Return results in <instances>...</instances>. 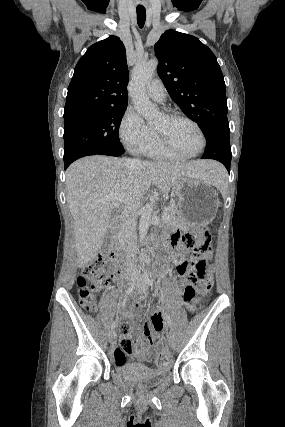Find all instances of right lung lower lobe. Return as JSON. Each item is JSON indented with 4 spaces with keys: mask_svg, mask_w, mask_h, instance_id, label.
<instances>
[{
    "mask_svg": "<svg viewBox=\"0 0 285 427\" xmlns=\"http://www.w3.org/2000/svg\"><path fill=\"white\" fill-rule=\"evenodd\" d=\"M65 165V169L70 165V164H64Z\"/></svg>",
    "mask_w": 285,
    "mask_h": 427,
    "instance_id": "1",
    "label": "right lung lower lobe"
}]
</instances>
